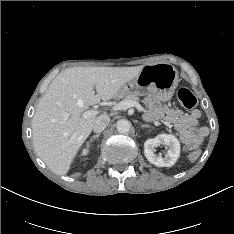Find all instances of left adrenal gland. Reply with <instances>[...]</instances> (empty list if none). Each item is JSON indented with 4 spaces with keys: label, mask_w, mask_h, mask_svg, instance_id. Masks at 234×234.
I'll list each match as a JSON object with an SVG mask.
<instances>
[{
    "label": "left adrenal gland",
    "mask_w": 234,
    "mask_h": 234,
    "mask_svg": "<svg viewBox=\"0 0 234 234\" xmlns=\"http://www.w3.org/2000/svg\"><path fill=\"white\" fill-rule=\"evenodd\" d=\"M141 127L142 128H148V127L150 128L151 126L146 124V125H142Z\"/></svg>",
    "instance_id": "a2214340"
}]
</instances>
